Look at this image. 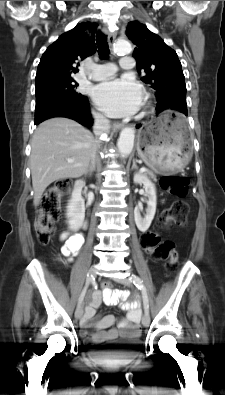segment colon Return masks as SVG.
<instances>
[{
	"label": "colon",
	"instance_id": "obj_1",
	"mask_svg": "<svg viewBox=\"0 0 225 395\" xmlns=\"http://www.w3.org/2000/svg\"><path fill=\"white\" fill-rule=\"evenodd\" d=\"M161 186L171 195L178 197L169 209L163 212L159 218V226L168 230L172 225H184L187 220L188 206L183 197L186 196L189 179L184 175H165L161 178ZM70 181L61 179L51 184L43 194L35 221L37 239L40 244H48L55 234V222L60 217L61 201L64 193L69 189ZM142 245L150 252L154 259L166 262L169 272L176 268L178 255L175 244L170 240H161L156 232H150L143 236ZM102 288H112V281L104 280Z\"/></svg>",
	"mask_w": 225,
	"mask_h": 395
}]
</instances>
